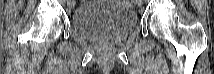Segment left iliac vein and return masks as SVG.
Segmentation results:
<instances>
[{"label": "left iliac vein", "mask_w": 214, "mask_h": 74, "mask_svg": "<svg viewBox=\"0 0 214 74\" xmlns=\"http://www.w3.org/2000/svg\"><path fill=\"white\" fill-rule=\"evenodd\" d=\"M137 3H138V5H141L142 2L141 1H137Z\"/></svg>", "instance_id": "1"}]
</instances>
